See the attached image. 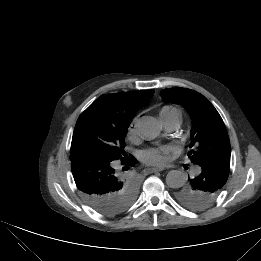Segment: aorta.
Returning a JSON list of instances; mask_svg holds the SVG:
<instances>
[{"label": "aorta", "instance_id": "aorta-1", "mask_svg": "<svg viewBox=\"0 0 261 261\" xmlns=\"http://www.w3.org/2000/svg\"><path fill=\"white\" fill-rule=\"evenodd\" d=\"M162 126L160 122L151 116H144L138 123V132L148 140L155 139L161 132ZM185 183V175L182 171L172 170L166 176V184L170 188H180Z\"/></svg>", "mask_w": 261, "mask_h": 261}]
</instances>
